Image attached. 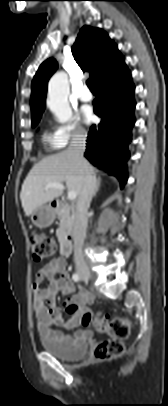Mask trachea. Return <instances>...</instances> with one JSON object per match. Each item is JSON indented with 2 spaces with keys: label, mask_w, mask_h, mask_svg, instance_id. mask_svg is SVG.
Instances as JSON below:
<instances>
[{
  "label": "trachea",
  "mask_w": 168,
  "mask_h": 406,
  "mask_svg": "<svg viewBox=\"0 0 168 406\" xmlns=\"http://www.w3.org/2000/svg\"><path fill=\"white\" fill-rule=\"evenodd\" d=\"M86 83H87V86L89 87V89H90L92 92H95V91H96L95 86H94V83H93V81H92L91 79H88Z\"/></svg>",
  "instance_id": "1"
}]
</instances>
